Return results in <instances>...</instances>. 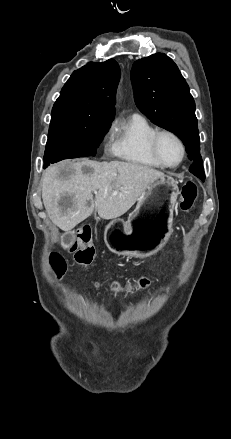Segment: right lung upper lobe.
<instances>
[{
  "label": "right lung upper lobe",
  "mask_w": 231,
  "mask_h": 439,
  "mask_svg": "<svg viewBox=\"0 0 231 439\" xmlns=\"http://www.w3.org/2000/svg\"><path fill=\"white\" fill-rule=\"evenodd\" d=\"M120 68L114 59L74 71L61 90L51 117L76 115L113 120Z\"/></svg>",
  "instance_id": "1"
}]
</instances>
